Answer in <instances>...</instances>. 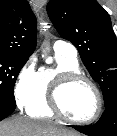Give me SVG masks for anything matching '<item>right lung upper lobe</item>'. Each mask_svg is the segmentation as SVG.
I'll return each instance as SVG.
<instances>
[{
  "mask_svg": "<svg viewBox=\"0 0 117 136\" xmlns=\"http://www.w3.org/2000/svg\"><path fill=\"white\" fill-rule=\"evenodd\" d=\"M37 22L27 0H0V55L29 58Z\"/></svg>",
  "mask_w": 117,
  "mask_h": 136,
  "instance_id": "cb5924a9",
  "label": "right lung upper lobe"
}]
</instances>
